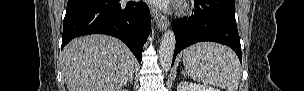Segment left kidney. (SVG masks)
Masks as SVG:
<instances>
[{
  "mask_svg": "<svg viewBox=\"0 0 304 91\" xmlns=\"http://www.w3.org/2000/svg\"><path fill=\"white\" fill-rule=\"evenodd\" d=\"M177 91H220L217 88L208 85L193 84L191 82H181Z\"/></svg>",
  "mask_w": 304,
  "mask_h": 91,
  "instance_id": "5707ae66",
  "label": "left kidney"
}]
</instances>
